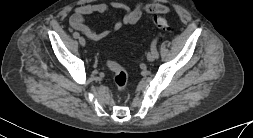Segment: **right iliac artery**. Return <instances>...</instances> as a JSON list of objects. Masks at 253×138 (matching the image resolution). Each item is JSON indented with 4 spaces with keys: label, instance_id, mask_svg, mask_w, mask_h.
<instances>
[{
    "label": "right iliac artery",
    "instance_id": "1",
    "mask_svg": "<svg viewBox=\"0 0 253 138\" xmlns=\"http://www.w3.org/2000/svg\"><path fill=\"white\" fill-rule=\"evenodd\" d=\"M74 38H79L80 34L78 32L73 33Z\"/></svg>",
    "mask_w": 253,
    "mask_h": 138
}]
</instances>
